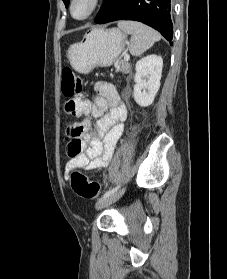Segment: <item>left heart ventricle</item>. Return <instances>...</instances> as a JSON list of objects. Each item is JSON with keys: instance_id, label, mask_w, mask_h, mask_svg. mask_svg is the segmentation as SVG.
Segmentation results:
<instances>
[{"instance_id": "b2bd125f", "label": "left heart ventricle", "mask_w": 227, "mask_h": 279, "mask_svg": "<svg viewBox=\"0 0 227 279\" xmlns=\"http://www.w3.org/2000/svg\"><path fill=\"white\" fill-rule=\"evenodd\" d=\"M89 9V0H76L73 6V14L76 17L84 16Z\"/></svg>"}]
</instances>
